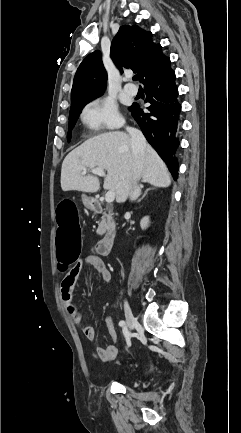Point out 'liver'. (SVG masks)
<instances>
[{
	"instance_id": "obj_1",
	"label": "liver",
	"mask_w": 241,
	"mask_h": 433,
	"mask_svg": "<svg viewBox=\"0 0 241 433\" xmlns=\"http://www.w3.org/2000/svg\"><path fill=\"white\" fill-rule=\"evenodd\" d=\"M132 166L130 136L119 131L103 133L85 141L65 157L61 168V188L64 192H97L99 179L93 175H82V171L100 168L107 170L103 188L114 191L118 203L125 202L128 198L134 201L140 196L142 186L133 185ZM141 177L143 182L156 187H168L171 184L166 165L148 144L145 147Z\"/></svg>"
}]
</instances>
